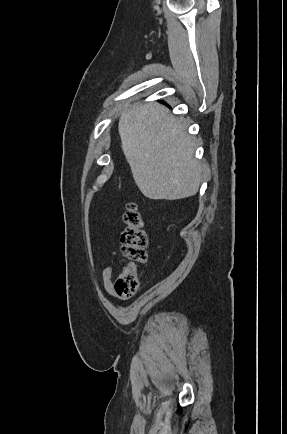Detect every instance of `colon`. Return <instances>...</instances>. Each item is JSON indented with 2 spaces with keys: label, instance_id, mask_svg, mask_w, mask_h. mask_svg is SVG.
<instances>
[{
  "label": "colon",
  "instance_id": "1",
  "mask_svg": "<svg viewBox=\"0 0 287 434\" xmlns=\"http://www.w3.org/2000/svg\"><path fill=\"white\" fill-rule=\"evenodd\" d=\"M124 223L125 227L121 233V251L128 264L119 273L114 291L119 297L130 298L140 287V275L136 264L147 261L148 237L137 205H127Z\"/></svg>",
  "mask_w": 287,
  "mask_h": 434
}]
</instances>
